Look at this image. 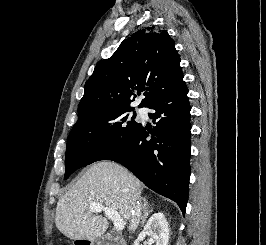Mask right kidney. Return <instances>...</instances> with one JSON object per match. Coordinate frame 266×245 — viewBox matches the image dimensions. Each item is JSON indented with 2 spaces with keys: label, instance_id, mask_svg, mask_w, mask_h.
<instances>
[{
  "label": "right kidney",
  "instance_id": "1",
  "mask_svg": "<svg viewBox=\"0 0 266 245\" xmlns=\"http://www.w3.org/2000/svg\"><path fill=\"white\" fill-rule=\"evenodd\" d=\"M155 239L156 245H168L169 243V227L163 213H154L147 221L142 233L138 235L134 241V245H140V241H144L145 237Z\"/></svg>",
  "mask_w": 266,
  "mask_h": 245
}]
</instances>
